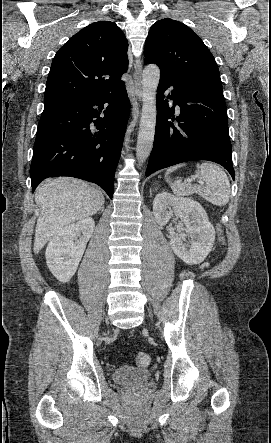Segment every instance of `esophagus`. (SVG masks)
<instances>
[{"instance_id":"obj_1","label":"esophagus","mask_w":271,"mask_h":443,"mask_svg":"<svg viewBox=\"0 0 271 443\" xmlns=\"http://www.w3.org/2000/svg\"><path fill=\"white\" fill-rule=\"evenodd\" d=\"M134 94L138 101H142V63L141 60L138 59L136 62L135 70H134Z\"/></svg>"}]
</instances>
